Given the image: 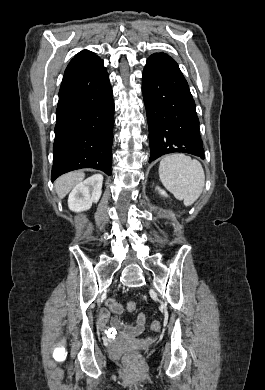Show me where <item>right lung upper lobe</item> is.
<instances>
[{
	"label": "right lung upper lobe",
	"mask_w": 265,
	"mask_h": 390,
	"mask_svg": "<svg viewBox=\"0 0 265 390\" xmlns=\"http://www.w3.org/2000/svg\"><path fill=\"white\" fill-rule=\"evenodd\" d=\"M100 61L101 59L91 51L83 50L76 54L75 57L70 61L65 70L63 79L86 70Z\"/></svg>",
	"instance_id": "obj_1"
}]
</instances>
